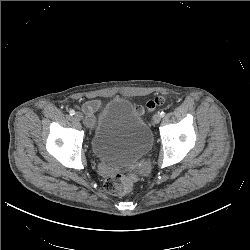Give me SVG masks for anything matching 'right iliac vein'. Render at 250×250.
<instances>
[{
  "label": "right iliac vein",
  "mask_w": 250,
  "mask_h": 250,
  "mask_svg": "<svg viewBox=\"0 0 250 250\" xmlns=\"http://www.w3.org/2000/svg\"><path fill=\"white\" fill-rule=\"evenodd\" d=\"M75 120L81 121L83 119V115L80 112L75 113L74 115Z\"/></svg>",
  "instance_id": "obj_1"
}]
</instances>
